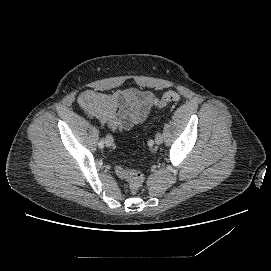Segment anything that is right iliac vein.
<instances>
[{
	"label": "right iliac vein",
	"instance_id": "63e3f726",
	"mask_svg": "<svg viewBox=\"0 0 271 271\" xmlns=\"http://www.w3.org/2000/svg\"><path fill=\"white\" fill-rule=\"evenodd\" d=\"M112 144H113V138H112V136L111 135H107L106 138H105V145L107 147H110V146H112Z\"/></svg>",
	"mask_w": 271,
	"mask_h": 271
}]
</instances>
